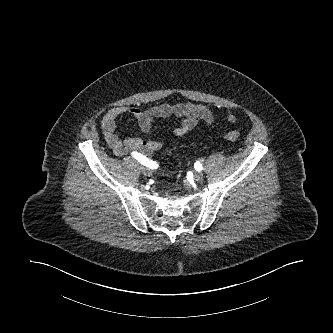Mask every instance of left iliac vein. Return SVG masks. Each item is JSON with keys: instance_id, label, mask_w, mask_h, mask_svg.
Returning <instances> with one entry per match:
<instances>
[{"instance_id": "4c4485c4", "label": "left iliac vein", "mask_w": 333, "mask_h": 333, "mask_svg": "<svg viewBox=\"0 0 333 333\" xmlns=\"http://www.w3.org/2000/svg\"><path fill=\"white\" fill-rule=\"evenodd\" d=\"M193 177H194V180L199 182L202 180L203 178V174L199 171H195L194 174H193Z\"/></svg>"}]
</instances>
